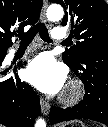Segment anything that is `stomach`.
<instances>
[{
    "label": "stomach",
    "mask_w": 108,
    "mask_h": 127,
    "mask_svg": "<svg viewBox=\"0 0 108 127\" xmlns=\"http://www.w3.org/2000/svg\"><path fill=\"white\" fill-rule=\"evenodd\" d=\"M58 127H87L81 120L65 122Z\"/></svg>",
    "instance_id": "stomach-1"
}]
</instances>
